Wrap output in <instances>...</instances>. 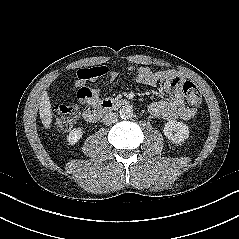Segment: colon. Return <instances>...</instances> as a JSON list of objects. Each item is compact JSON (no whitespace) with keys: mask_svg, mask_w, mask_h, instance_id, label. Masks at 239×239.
I'll list each match as a JSON object with an SVG mask.
<instances>
[{"mask_svg":"<svg viewBox=\"0 0 239 239\" xmlns=\"http://www.w3.org/2000/svg\"><path fill=\"white\" fill-rule=\"evenodd\" d=\"M106 73V68L99 67L91 71L88 76H99ZM182 91L189 102L193 106L201 103V92L199 88L191 81H185L182 84ZM78 110L74 105H61L54 110L55 127L59 131L70 130L77 118Z\"/></svg>","mask_w":239,"mask_h":239,"instance_id":"colon-1","label":"colon"}]
</instances>
